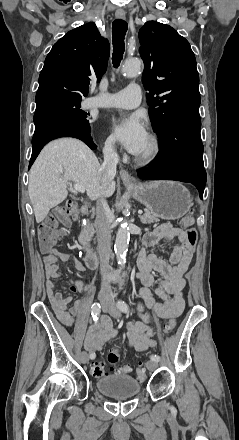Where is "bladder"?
Here are the masks:
<instances>
[{
	"mask_svg": "<svg viewBox=\"0 0 239 440\" xmlns=\"http://www.w3.org/2000/svg\"><path fill=\"white\" fill-rule=\"evenodd\" d=\"M96 389L111 398H130L141 391L140 382L130 375H109L95 381Z\"/></svg>",
	"mask_w": 239,
	"mask_h": 440,
	"instance_id": "bladder-1",
	"label": "bladder"
}]
</instances>
